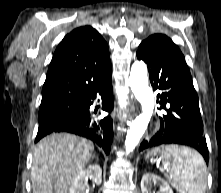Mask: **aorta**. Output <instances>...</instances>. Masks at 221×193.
<instances>
[{
  "label": "aorta",
  "instance_id": "762f6f07",
  "mask_svg": "<svg viewBox=\"0 0 221 193\" xmlns=\"http://www.w3.org/2000/svg\"><path fill=\"white\" fill-rule=\"evenodd\" d=\"M130 87L136 99L140 102L142 113L132 122L127 131L125 148L133 151L145 133L154 110V94L148 85L147 66L143 61H135L129 77Z\"/></svg>",
  "mask_w": 221,
  "mask_h": 193
}]
</instances>
